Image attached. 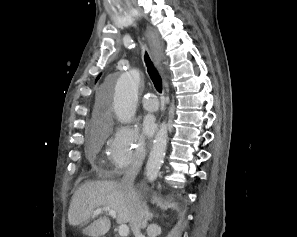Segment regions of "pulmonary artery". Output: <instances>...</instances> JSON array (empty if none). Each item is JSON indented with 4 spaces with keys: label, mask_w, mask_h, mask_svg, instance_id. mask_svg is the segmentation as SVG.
Listing matches in <instances>:
<instances>
[{
    "label": "pulmonary artery",
    "mask_w": 297,
    "mask_h": 237,
    "mask_svg": "<svg viewBox=\"0 0 297 237\" xmlns=\"http://www.w3.org/2000/svg\"><path fill=\"white\" fill-rule=\"evenodd\" d=\"M142 105L144 109L148 111H155L157 110L159 104L153 94L147 93L142 99Z\"/></svg>",
    "instance_id": "pulmonary-artery-1"
}]
</instances>
